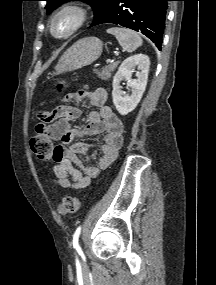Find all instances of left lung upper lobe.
<instances>
[{
    "instance_id": "obj_1",
    "label": "left lung upper lobe",
    "mask_w": 216,
    "mask_h": 285,
    "mask_svg": "<svg viewBox=\"0 0 216 285\" xmlns=\"http://www.w3.org/2000/svg\"><path fill=\"white\" fill-rule=\"evenodd\" d=\"M47 1L46 9L47 14H50L54 9H56L59 5L68 1H83L88 3L94 11V20L93 23L97 22L99 19L103 17V15L107 12L109 7L111 6L113 0H45ZM92 23V24H93Z\"/></svg>"
}]
</instances>
